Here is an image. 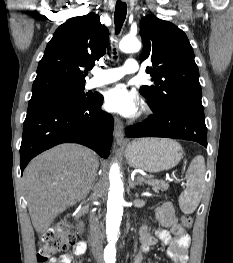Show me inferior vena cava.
I'll return each mask as SVG.
<instances>
[{"mask_svg":"<svg viewBox=\"0 0 233 263\" xmlns=\"http://www.w3.org/2000/svg\"><path fill=\"white\" fill-rule=\"evenodd\" d=\"M89 222L92 253L97 263H103V236L101 233L99 220L96 216L91 215Z\"/></svg>","mask_w":233,"mask_h":263,"instance_id":"1","label":"inferior vena cava"}]
</instances>
